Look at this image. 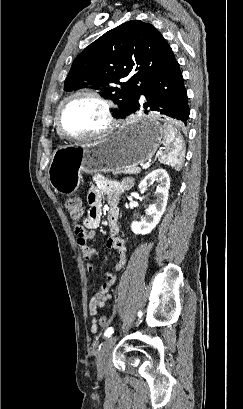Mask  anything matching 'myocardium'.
<instances>
[{"label": "myocardium", "instance_id": "1", "mask_svg": "<svg viewBox=\"0 0 243 409\" xmlns=\"http://www.w3.org/2000/svg\"><path fill=\"white\" fill-rule=\"evenodd\" d=\"M78 96H87L90 97L94 100H96L98 103H100L103 107L104 110V117H105V121L106 124L105 126L93 133H89V134H83V135H70L67 134L62 127V113H63V109L65 107V105L73 98L78 97ZM117 126V121L115 119L114 113H113V106L112 103L106 98L104 97L102 94H100L99 92L95 91V90H91V89H80L77 90L73 93H71L70 95H68L67 97H65L61 103L59 104L57 111H56V128H57V132L58 134L67 140H71V141H82V140H87V139H94V138H99V137H103L107 134H110L111 132H113L115 130Z\"/></svg>", "mask_w": 243, "mask_h": 409}]
</instances>
